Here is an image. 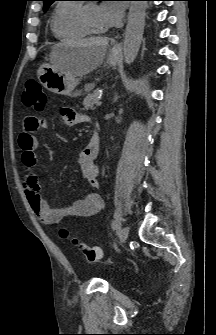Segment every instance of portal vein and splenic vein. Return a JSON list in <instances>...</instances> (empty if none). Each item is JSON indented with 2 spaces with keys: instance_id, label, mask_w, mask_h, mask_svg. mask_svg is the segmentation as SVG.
Masks as SVG:
<instances>
[{
  "instance_id": "1",
  "label": "portal vein and splenic vein",
  "mask_w": 216,
  "mask_h": 335,
  "mask_svg": "<svg viewBox=\"0 0 216 335\" xmlns=\"http://www.w3.org/2000/svg\"><path fill=\"white\" fill-rule=\"evenodd\" d=\"M102 103H103V102H102L101 98L99 97V98H98V102H97V106H101Z\"/></svg>"
}]
</instances>
